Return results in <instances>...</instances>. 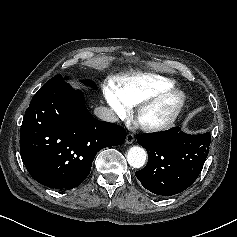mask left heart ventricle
Segmentation results:
<instances>
[{
    "label": "left heart ventricle",
    "instance_id": "1",
    "mask_svg": "<svg viewBox=\"0 0 237 237\" xmlns=\"http://www.w3.org/2000/svg\"><path fill=\"white\" fill-rule=\"evenodd\" d=\"M174 104V100H168L155 108L147 110L142 116L141 121L158 122L163 120L167 116L168 112L172 109Z\"/></svg>",
    "mask_w": 237,
    "mask_h": 237
}]
</instances>
